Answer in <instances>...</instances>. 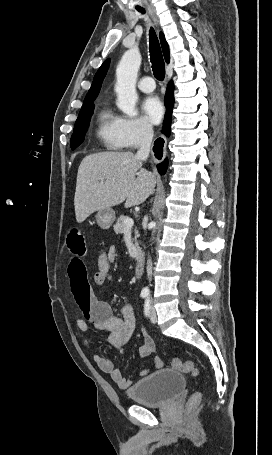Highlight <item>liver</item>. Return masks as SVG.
<instances>
[{"label":"liver","mask_w":272,"mask_h":455,"mask_svg":"<svg viewBox=\"0 0 272 455\" xmlns=\"http://www.w3.org/2000/svg\"><path fill=\"white\" fill-rule=\"evenodd\" d=\"M155 177L142 169L132 152H102L86 156L77 173L75 215L82 223L93 212L143 203L155 187Z\"/></svg>","instance_id":"obj_1"}]
</instances>
